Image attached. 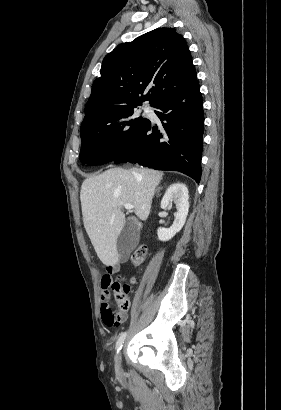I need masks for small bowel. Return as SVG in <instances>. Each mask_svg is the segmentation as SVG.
I'll use <instances>...</instances> for the list:
<instances>
[{"label":"small bowel","mask_w":281,"mask_h":410,"mask_svg":"<svg viewBox=\"0 0 281 410\" xmlns=\"http://www.w3.org/2000/svg\"><path fill=\"white\" fill-rule=\"evenodd\" d=\"M119 265H111L106 267V272L102 275L100 280L101 286V315L103 318L104 313L109 308L110 287L113 283L112 274L119 271ZM125 319L124 315H121V322Z\"/></svg>","instance_id":"c3829d8e"}]
</instances>
